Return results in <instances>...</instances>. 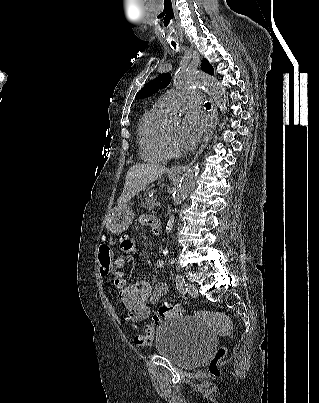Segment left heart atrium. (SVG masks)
Returning a JSON list of instances; mask_svg holds the SVG:
<instances>
[{
  "label": "left heart atrium",
  "instance_id": "1",
  "mask_svg": "<svg viewBox=\"0 0 319 403\" xmlns=\"http://www.w3.org/2000/svg\"><path fill=\"white\" fill-rule=\"evenodd\" d=\"M204 126V121L196 113L187 114L179 127V146L183 149L194 148L202 136Z\"/></svg>",
  "mask_w": 319,
  "mask_h": 403
}]
</instances>
